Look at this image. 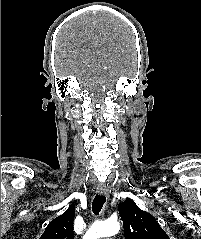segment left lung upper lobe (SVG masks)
Returning <instances> with one entry per match:
<instances>
[{"label":"left lung upper lobe","mask_w":201,"mask_h":239,"mask_svg":"<svg viewBox=\"0 0 201 239\" xmlns=\"http://www.w3.org/2000/svg\"><path fill=\"white\" fill-rule=\"evenodd\" d=\"M119 214L123 220L125 239H170L156 219L138 208L131 199L119 204Z\"/></svg>","instance_id":"obj_1"}]
</instances>
